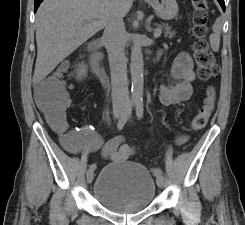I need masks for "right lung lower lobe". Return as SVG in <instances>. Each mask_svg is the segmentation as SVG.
Wrapping results in <instances>:
<instances>
[{"instance_id": "1", "label": "right lung lower lobe", "mask_w": 245, "mask_h": 225, "mask_svg": "<svg viewBox=\"0 0 245 225\" xmlns=\"http://www.w3.org/2000/svg\"><path fill=\"white\" fill-rule=\"evenodd\" d=\"M43 0H35V11L37 10V8L39 7L40 3L42 2Z\"/></svg>"}]
</instances>
